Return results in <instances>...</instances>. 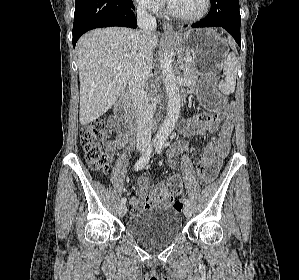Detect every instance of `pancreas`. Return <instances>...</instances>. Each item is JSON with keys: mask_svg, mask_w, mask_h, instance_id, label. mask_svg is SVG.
<instances>
[{"mask_svg": "<svg viewBox=\"0 0 299 280\" xmlns=\"http://www.w3.org/2000/svg\"><path fill=\"white\" fill-rule=\"evenodd\" d=\"M183 75L185 79L189 82L190 86L196 84L198 80V72L193 60L185 62Z\"/></svg>", "mask_w": 299, "mask_h": 280, "instance_id": "obj_1", "label": "pancreas"}]
</instances>
